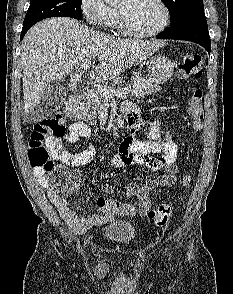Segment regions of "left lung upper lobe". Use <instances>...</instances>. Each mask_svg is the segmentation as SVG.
<instances>
[{
	"mask_svg": "<svg viewBox=\"0 0 233 294\" xmlns=\"http://www.w3.org/2000/svg\"><path fill=\"white\" fill-rule=\"evenodd\" d=\"M171 18L170 29L188 24H207L203 0H162Z\"/></svg>",
	"mask_w": 233,
	"mask_h": 294,
	"instance_id": "obj_1",
	"label": "left lung upper lobe"
}]
</instances>
